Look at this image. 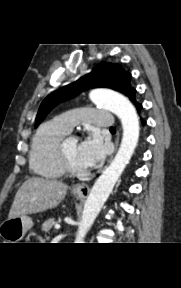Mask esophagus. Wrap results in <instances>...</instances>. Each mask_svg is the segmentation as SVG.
I'll return each instance as SVG.
<instances>
[{
    "label": "esophagus",
    "mask_w": 181,
    "mask_h": 288,
    "mask_svg": "<svg viewBox=\"0 0 181 288\" xmlns=\"http://www.w3.org/2000/svg\"><path fill=\"white\" fill-rule=\"evenodd\" d=\"M119 144V134H117L115 139V151L117 150ZM113 155L109 157L108 163L112 160ZM72 192L80 197H87L90 192V185L87 183H77L72 187Z\"/></svg>",
    "instance_id": "obj_1"
}]
</instances>
